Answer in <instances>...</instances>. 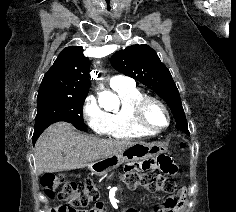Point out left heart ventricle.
<instances>
[{
    "mask_svg": "<svg viewBox=\"0 0 236 212\" xmlns=\"http://www.w3.org/2000/svg\"><path fill=\"white\" fill-rule=\"evenodd\" d=\"M148 120L156 127H162L166 124V116L163 110L157 105H151L149 107Z\"/></svg>",
    "mask_w": 236,
    "mask_h": 212,
    "instance_id": "1",
    "label": "left heart ventricle"
}]
</instances>
